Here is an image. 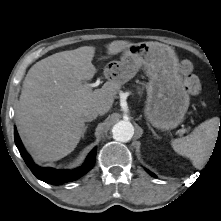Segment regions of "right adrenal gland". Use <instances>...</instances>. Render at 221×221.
<instances>
[{
  "instance_id": "right-adrenal-gland-1",
  "label": "right adrenal gland",
  "mask_w": 221,
  "mask_h": 221,
  "mask_svg": "<svg viewBox=\"0 0 221 221\" xmlns=\"http://www.w3.org/2000/svg\"><path fill=\"white\" fill-rule=\"evenodd\" d=\"M87 128H88V125H87V126H85L84 133L86 132ZM82 137H84V134H83V136H82Z\"/></svg>"
}]
</instances>
